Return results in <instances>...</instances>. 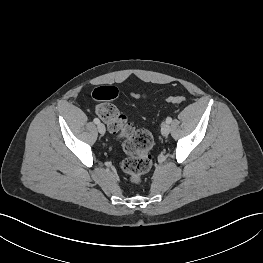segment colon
I'll list each match as a JSON object with an SVG mask.
<instances>
[{"instance_id": "5ec220e1", "label": "colon", "mask_w": 263, "mask_h": 263, "mask_svg": "<svg viewBox=\"0 0 263 263\" xmlns=\"http://www.w3.org/2000/svg\"><path fill=\"white\" fill-rule=\"evenodd\" d=\"M117 96L118 91L112 86H99L92 92L93 100L98 103L96 114L105 122L109 132L122 141L123 151L127 155L121 163L122 171L130 183L139 184L152 167L150 152L153 137L149 131L137 128L111 103ZM168 101L172 104H182L185 97L173 95Z\"/></svg>"}]
</instances>
